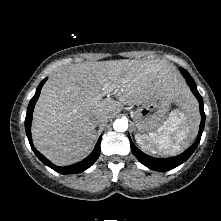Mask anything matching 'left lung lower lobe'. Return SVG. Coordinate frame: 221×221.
Here are the masks:
<instances>
[{"mask_svg": "<svg viewBox=\"0 0 221 221\" xmlns=\"http://www.w3.org/2000/svg\"><path fill=\"white\" fill-rule=\"evenodd\" d=\"M181 72L186 77L187 82H188L189 86L191 87L192 92L197 97L199 104H200L201 123H200V130L198 133V137H197V140L195 141V143L190 148H188L184 153H182L181 155H178V156L172 157V158H168V159H158V158L150 157V156L144 154L143 152H141L133 144V142L131 141V139L129 137L130 144H131V150H132L133 154L135 155V157L143 165H145L146 167H148L150 169L156 170V171H161V172L169 171V170L174 169L175 167L179 166L180 164L184 163L197 148V146L200 142V139H201L203 129H204L205 113H204V108H203L202 97L199 94V92L197 91L196 84H195L194 80L192 79V77L190 76V74L183 68H181Z\"/></svg>", "mask_w": 221, "mask_h": 221, "instance_id": "0a47b994", "label": "left lung lower lobe"}]
</instances>
